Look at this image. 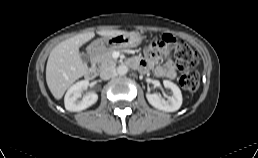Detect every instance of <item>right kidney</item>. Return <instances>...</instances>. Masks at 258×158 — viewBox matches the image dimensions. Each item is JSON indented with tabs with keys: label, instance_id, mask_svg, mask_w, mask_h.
I'll use <instances>...</instances> for the list:
<instances>
[{
	"label": "right kidney",
	"instance_id": "right-kidney-1",
	"mask_svg": "<svg viewBox=\"0 0 258 158\" xmlns=\"http://www.w3.org/2000/svg\"><path fill=\"white\" fill-rule=\"evenodd\" d=\"M88 86L89 81L82 80L75 83L68 89L64 97L66 110L74 112L82 111L97 102L98 95L93 92L86 94L85 96H83L82 100H79V98H81V91L87 89Z\"/></svg>",
	"mask_w": 258,
	"mask_h": 158
}]
</instances>
